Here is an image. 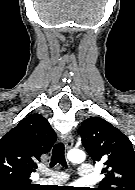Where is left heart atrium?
I'll return each instance as SVG.
<instances>
[{
  "label": "left heart atrium",
  "instance_id": "left-heart-atrium-1",
  "mask_svg": "<svg viewBox=\"0 0 135 190\" xmlns=\"http://www.w3.org/2000/svg\"><path fill=\"white\" fill-rule=\"evenodd\" d=\"M64 190H78V188H76V187H68V188H66Z\"/></svg>",
  "mask_w": 135,
  "mask_h": 190
}]
</instances>
